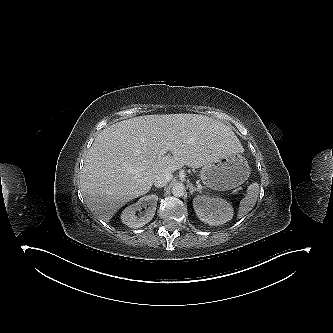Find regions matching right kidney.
I'll list each match as a JSON object with an SVG mask.
<instances>
[{
  "instance_id": "obj_1",
  "label": "right kidney",
  "mask_w": 333,
  "mask_h": 333,
  "mask_svg": "<svg viewBox=\"0 0 333 333\" xmlns=\"http://www.w3.org/2000/svg\"><path fill=\"white\" fill-rule=\"evenodd\" d=\"M158 196L148 195L140 198L135 204L126 207L121 215L122 223L131 228H140L150 222L155 215L157 207ZM145 208L144 215L139 217L136 215L137 211Z\"/></svg>"
}]
</instances>
